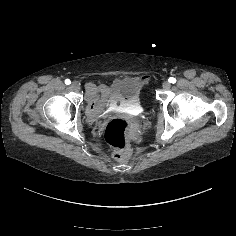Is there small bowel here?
Here are the masks:
<instances>
[{"label":"small bowel","instance_id":"small-bowel-1","mask_svg":"<svg viewBox=\"0 0 236 236\" xmlns=\"http://www.w3.org/2000/svg\"><path fill=\"white\" fill-rule=\"evenodd\" d=\"M143 81H145V79L143 78L142 79ZM91 88H95V87H91ZM96 89H100V90H102L104 93H105V91H106V87L104 86V85H100L98 88H96ZM106 94V93H105Z\"/></svg>","mask_w":236,"mask_h":236}]
</instances>
